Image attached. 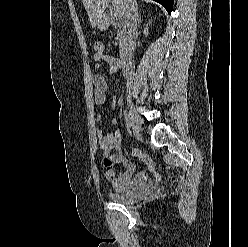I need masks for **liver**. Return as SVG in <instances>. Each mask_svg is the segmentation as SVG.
I'll return each instance as SVG.
<instances>
[{
    "instance_id": "obj_1",
    "label": "liver",
    "mask_w": 248,
    "mask_h": 247,
    "mask_svg": "<svg viewBox=\"0 0 248 247\" xmlns=\"http://www.w3.org/2000/svg\"><path fill=\"white\" fill-rule=\"evenodd\" d=\"M90 18L92 28L96 27L103 17L105 9L112 1L119 14L124 15V0H81Z\"/></svg>"
}]
</instances>
